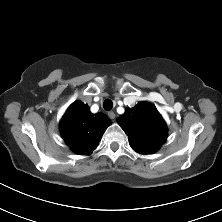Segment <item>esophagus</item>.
<instances>
[{
    "instance_id": "obj_1",
    "label": "esophagus",
    "mask_w": 222,
    "mask_h": 222,
    "mask_svg": "<svg viewBox=\"0 0 222 222\" xmlns=\"http://www.w3.org/2000/svg\"><path fill=\"white\" fill-rule=\"evenodd\" d=\"M108 117L110 119H115L116 115H115V113L113 111H110V112H108Z\"/></svg>"
}]
</instances>
